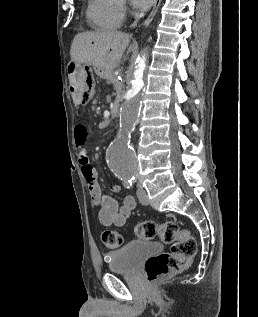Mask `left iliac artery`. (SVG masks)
I'll list each match as a JSON object with an SVG mask.
<instances>
[{
    "label": "left iliac artery",
    "mask_w": 258,
    "mask_h": 317,
    "mask_svg": "<svg viewBox=\"0 0 258 317\" xmlns=\"http://www.w3.org/2000/svg\"><path fill=\"white\" fill-rule=\"evenodd\" d=\"M131 181L134 183V182H135V179H131Z\"/></svg>",
    "instance_id": "1"
}]
</instances>
